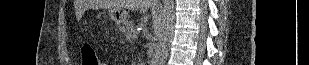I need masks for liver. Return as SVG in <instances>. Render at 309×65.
Segmentation results:
<instances>
[{
	"label": "liver",
	"instance_id": "liver-1",
	"mask_svg": "<svg viewBox=\"0 0 309 65\" xmlns=\"http://www.w3.org/2000/svg\"><path fill=\"white\" fill-rule=\"evenodd\" d=\"M108 8H127L130 10L139 9L141 12L147 11L151 6V0H109L101 3Z\"/></svg>",
	"mask_w": 309,
	"mask_h": 65
}]
</instances>
